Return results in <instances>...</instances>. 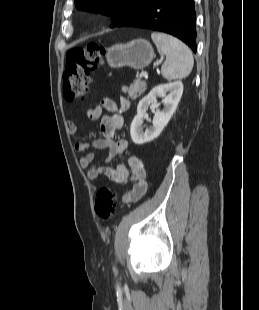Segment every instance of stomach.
I'll return each instance as SVG.
<instances>
[{
    "instance_id": "obj_1",
    "label": "stomach",
    "mask_w": 259,
    "mask_h": 310,
    "mask_svg": "<svg viewBox=\"0 0 259 310\" xmlns=\"http://www.w3.org/2000/svg\"><path fill=\"white\" fill-rule=\"evenodd\" d=\"M153 58V47L144 39L133 40L127 44L113 45L106 54L110 67L120 68L128 66L135 70L147 67Z\"/></svg>"
}]
</instances>
